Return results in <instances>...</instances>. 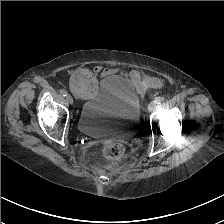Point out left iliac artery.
<instances>
[{
	"instance_id": "left-iliac-artery-1",
	"label": "left iliac artery",
	"mask_w": 224,
	"mask_h": 224,
	"mask_svg": "<svg viewBox=\"0 0 224 224\" xmlns=\"http://www.w3.org/2000/svg\"><path fill=\"white\" fill-rule=\"evenodd\" d=\"M157 104H160L164 101V97L162 96H159V97H156L155 100H154Z\"/></svg>"
}]
</instances>
